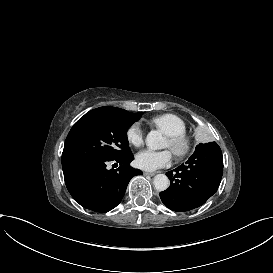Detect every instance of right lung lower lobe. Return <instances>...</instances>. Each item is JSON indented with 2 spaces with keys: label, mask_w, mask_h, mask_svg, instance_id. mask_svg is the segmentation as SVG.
Returning <instances> with one entry per match:
<instances>
[{
  "label": "right lung lower lobe",
  "mask_w": 273,
  "mask_h": 273,
  "mask_svg": "<svg viewBox=\"0 0 273 273\" xmlns=\"http://www.w3.org/2000/svg\"><path fill=\"white\" fill-rule=\"evenodd\" d=\"M131 152L114 159H78L62 166L66 187L71 196L84 208L105 213L122 200L132 177L140 170L130 167ZM113 162L117 169H108Z\"/></svg>",
  "instance_id": "1"
}]
</instances>
